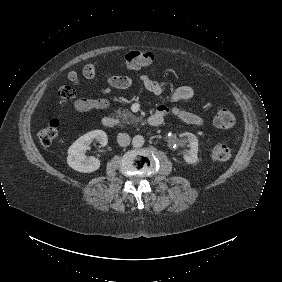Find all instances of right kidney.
Wrapping results in <instances>:
<instances>
[{
    "instance_id": "1",
    "label": "right kidney",
    "mask_w": 282,
    "mask_h": 282,
    "mask_svg": "<svg viewBox=\"0 0 282 282\" xmlns=\"http://www.w3.org/2000/svg\"><path fill=\"white\" fill-rule=\"evenodd\" d=\"M94 139H97L101 146H106L107 135L102 130H93L75 140L67 150V165L74 171L80 173H92L100 169L101 161L97 158H86L85 152Z\"/></svg>"
}]
</instances>
